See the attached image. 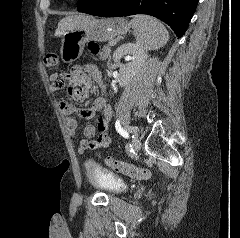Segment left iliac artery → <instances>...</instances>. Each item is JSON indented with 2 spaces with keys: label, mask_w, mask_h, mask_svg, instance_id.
<instances>
[{
  "label": "left iliac artery",
  "mask_w": 240,
  "mask_h": 238,
  "mask_svg": "<svg viewBox=\"0 0 240 238\" xmlns=\"http://www.w3.org/2000/svg\"><path fill=\"white\" fill-rule=\"evenodd\" d=\"M121 128H122V127H121ZM126 129H127L129 132H134V133L136 132V129H135L134 127H131V126H130V127H127Z\"/></svg>",
  "instance_id": "44dca946"
}]
</instances>
